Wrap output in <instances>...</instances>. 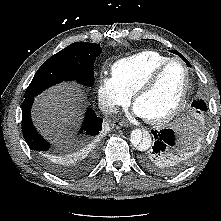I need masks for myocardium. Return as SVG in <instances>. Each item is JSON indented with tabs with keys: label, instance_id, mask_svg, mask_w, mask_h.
I'll return each instance as SVG.
<instances>
[{
	"label": "myocardium",
	"instance_id": "obj_1",
	"mask_svg": "<svg viewBox=\"0 0 221 221\" xmlns=\"http://www.w3.org/2000/svg\"><path fill=\"white\" fill-rule=\"evenodd\" d=\"M174 62H180L186 73V84L185 89L183 91V94L180 98V100L177 102V104L166 114L154 117V118H147L146 120L153 124V125H162L169 121H171L173 118H175L184 108L190 93L192 89V78H191V71L187 64V62L181 58V57H172L169 58L166 62L161 64L159 67H157L152 74L136 89V91L133 94V103L136 105L138 99L143 96L144 94L148 93L150 90H152L159 79L161 78L162 74L165 72V70Z\"/></svg>",
	"mask_w": 221,
	"mask_h": 221
}]
</instances>
